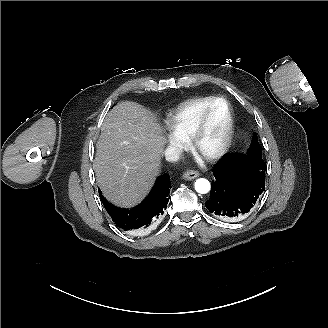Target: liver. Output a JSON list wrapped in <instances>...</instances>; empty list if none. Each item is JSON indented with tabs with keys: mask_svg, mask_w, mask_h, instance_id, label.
Segmentation results:
<instances>
[{
	"mask_svg": "<svg viewBox=\"0 0 328 328\" xmlns=\"http://www.w3.org/2000/svg\"><path fill=\"white\" fill-rule=\"evenodd\" d=\"M157 116L144 106L121 101L108 112L97 141L93 170L103 196L115 206L143 201L160 173L167 138Z\"/></svg>",
	"mask_w": 328,
	"mask_h": 328,
	"instance_id": "liver-1",
	"label": "liver"
}]
</instances>
